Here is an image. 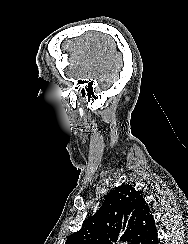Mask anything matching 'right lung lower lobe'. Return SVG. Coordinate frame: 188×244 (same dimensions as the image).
Here are the masks:
<instances>
[{
	"label": "right lung lower lobe",
	"mask_w": 188,
	"mask_h": 244,
	"mask_svg": "<svg viewBox=\"0 0 188 244\" xmlns=\"http://www.w3.org/2000/svg\"><path fill=\"white\" fill-rule=\"evenodd\" d=\"M142 244H158L155 226L153 228H151L146 239L144 240V242Z\"/></svg>",
	"instance_id": "obj_1"
}]
</instances>
